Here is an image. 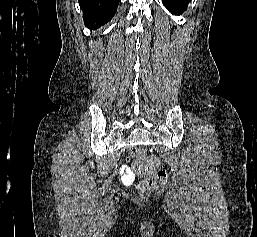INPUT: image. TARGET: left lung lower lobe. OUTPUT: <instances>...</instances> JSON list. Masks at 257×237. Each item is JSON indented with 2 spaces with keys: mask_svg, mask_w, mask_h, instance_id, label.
<instances>
[{
  "mask_svg": "<svg viewBox=\"0 0 257 237\" xmlns=\"http://www.w3.org/2000/svg\"><path fill=\"white\" fill-rule=\"evenodd\" d=\"M168 10L176 15H180L187 9L190 0H162Z\"/></svg>",
  "mask_w": 257,
  "mask_h": 237,
  "instance_id": "0a47b994",
  "label": "left lung lower lobe"
}]
</instances>
